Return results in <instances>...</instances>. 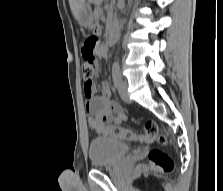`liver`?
<instances>
[{"label":"liver","mask_w":223,"mask_h":191,"mask_svg":"<svg viewBox=\"0 0 223 191\" xmlns=\"http://www.w3.org/2000/svg\"><path fill=\"white\" fill-rule=\"evenodd\" d=\"M85 4L86 0H69L70 9L77 20Z\"/></svg>","instance_id":"6515ba94"}]
</instances>
